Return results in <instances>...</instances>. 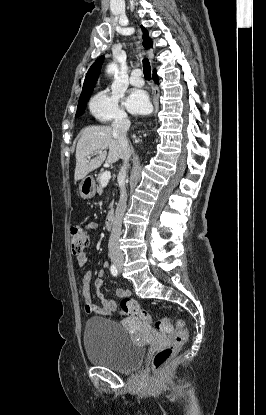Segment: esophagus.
Wrapping results in <instances>:
<instances>
[{"instance_id": "esophagus-1", "label": "esophagus", "mask_w": 266, "mask_h": 415, "mask_svg": "<svg viewBox=\"0 0 266 415\" xmlns=\"http://www.w3.org/2000/svg\"><path fill=\"white\" fill-rule=\"evenodd\" d=\"M158 94L157 95H155V97H154V106H155V108L157 109V106H158Z\"/></svg>"}]
</instances>
